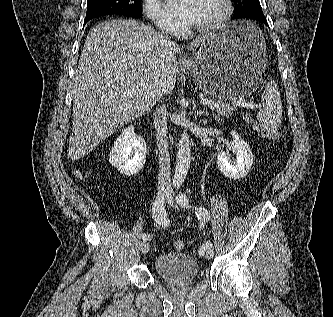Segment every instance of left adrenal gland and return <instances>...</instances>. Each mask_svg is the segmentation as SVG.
<instances>
[{
    "mask_svg": "<svg viewBox=\"0 0 333 317\" xmlns=\"http://www.w3.org/2000/svg\"><path fill=\"white\" fill-rule=\"evenodd\" d=\"M207 116L208 115V112L207 111H203V110H195V113H194V116L195 118H198V117H201V116Z\"/></svg>",
    "mask_w": 333,
    "mask_h": 317,
    "instance_id": "1",
    "label": "left adrenal gland"
}]
</instances>
